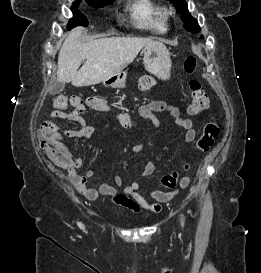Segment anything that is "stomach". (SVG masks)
<instances>
[{
    "instance_id": "obj_1",
    "label": "stomach",
    "mask_w": 261,
    "mask_h": 273,
    "mask_svg": "<svg viewBox=\"0 0 261 273\" xmlns=\"http://www.w3.org/2000/svg\"><path fill=\"white\" fill-rule=\"evenodd\" d=\"M143 62L145 69L163 80L170 77L171 59L166 46L157 41L146 45L143 50ZM127 74L124 71L113 75L104 81L112 87H125Z\"/></svg>"
}]
</instances>
